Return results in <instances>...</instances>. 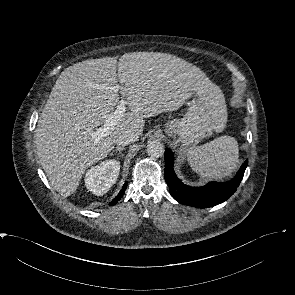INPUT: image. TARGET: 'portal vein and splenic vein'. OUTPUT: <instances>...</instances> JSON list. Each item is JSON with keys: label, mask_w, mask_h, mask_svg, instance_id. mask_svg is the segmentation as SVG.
<instances>
[{"label": "portal vein and splenic vein", "mask_w": 295, "mask_h": 295, "mask_svg": "<svg viewBox=\"0 0 295 295\" xmlns=\"http://www.w3.org/2000/svg\"><path fill=\"white\" fill-rule=\"evenodd\" d=\"M118 88V86H116ZM126 111V101L122 99L120 101V104L117 106L115 112L108 115L105 119V123L102 127L98 128L95 132H93L91 135L96 140H100L103 137L109 135V133L114 129L117 122L122 118Z\"/></svg>", "instance_id": "portal-vein-and-splenic-vein-1"}]
</instances>
